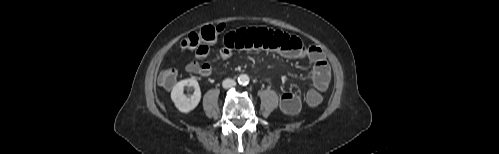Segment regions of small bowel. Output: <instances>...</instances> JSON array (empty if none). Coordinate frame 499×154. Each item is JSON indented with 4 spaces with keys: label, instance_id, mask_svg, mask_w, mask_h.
<instances>
[{
    "label": "small bowel",
    "instance_id": "small-bowel-1",
    "mask_svg": "<svg viewBox=\"0 0 499 154\" xmlns=\"http://www.w3.org/2000/svg\"><path fill=\"white\" fill-rule=\"evenodd\" d=\"M249 49L270 50L288 59L307 60L313 65L312 82L314 88L324 92L329 86L331 69L323 51L317 46L304 45L298 37L264 27L237 29L225 35L223 46L220 49V57L222 60H227L235 50ZM209 52V45L204 43L196 49L195 58L202 60L208 56ZM186 71L190 74L208 77L212 69L207 63L192 61L186 66ZM301 106L299 96L292 92H285L280 97V108L288 115L298 113Z\"/></svg>",
    "mask_w": 499,
    "mask_h": 154
}]
</instances>
